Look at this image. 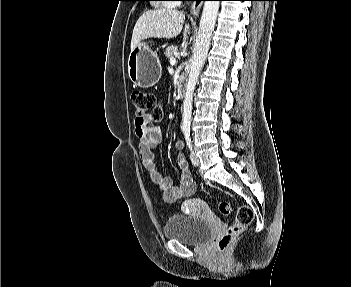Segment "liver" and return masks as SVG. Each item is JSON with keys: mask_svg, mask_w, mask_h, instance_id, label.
I'll return each mask as SVG.
<instances>
[{"mask_svg": "<svg viewBox=\"0 0 351 287\" xmlns=\"http://www.w3.org/2000/svg\"><path fill=\"white\" fill-rule=\"evenodd\" d=\"M185 14L178 10L157 9L146 11L137 20L131 39V51L144 39L166 38L178 36L183 28ZM189 24L185 25L184 36L189 32Z\"/></svg>", "mask_w": 351, "mask_h": 287, "instance_id": "6515ba94", "label": "liver"}]
</instances>
